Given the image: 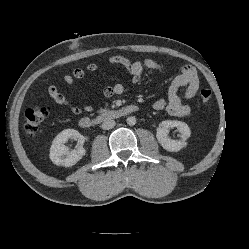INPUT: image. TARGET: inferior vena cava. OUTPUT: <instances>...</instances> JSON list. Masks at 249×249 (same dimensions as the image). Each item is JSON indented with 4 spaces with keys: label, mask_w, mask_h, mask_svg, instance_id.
I'll return each mask as SVG.
<instances>
[{
    "label": "inferior vena cava",
    "mask_w": 249,
    "mask_h": 249,
    "mask_svg": "<svg viewBox=\"0 0 249 249\" xmlns=\"http://www.w3.org/2000/svg\"><path fill=\"white\" fill-rule=\"evenodd\" d=\"M115 126V121L114 120H106L102 123L101 127L104 130H109L112 129Z\"/></svg>",
    "instance_id": "inferior-vena-cava-1"
}]
</instances>
